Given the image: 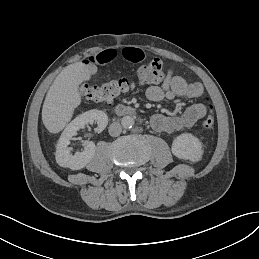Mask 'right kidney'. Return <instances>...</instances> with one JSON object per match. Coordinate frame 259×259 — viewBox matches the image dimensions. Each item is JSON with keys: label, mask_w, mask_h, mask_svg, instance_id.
Returning a JSON list of instances; mask_svg holds the SVG:
<instances>
[{"label": "right kidney", "mask_w": 259, "mask_h": 259, "mask_svg": "<svg viewBox=\"0 0 259 259\" xmlns=\"http://www.w3.org/2000/svg\"><path fill=\"white\" fill-rule=\"evenodd\" d=\"M94 122L98 124V132L103 131L108 123L107 115L103 111L90 110L75 118L66 127L56 147V162L60 167L79 171L92 161L96 151L94 143H88L84 151L75 156L69 153V145L80 129H84L86 125Z\"/></svg>", "instance_id": "1"}]
</instances>
